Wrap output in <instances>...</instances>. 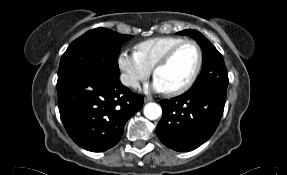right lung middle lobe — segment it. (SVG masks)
Wrapping results in <instances>:
<instances>
[{"mask_svg": "<svg viewBox=\"0 0 287 175\" xmlns=\"http://www.w3.org/2000/svg\"><path fill=\"white\" fill-rule=\"evenodd\" d=\"M130 38L132 35H121L105 28L86 32L73 41L62 55L58 79L78 72L119 79L117 58L123 42Z\"/></svg>", "mask_w": 287, "mask_h": 175, "instance_id": "obj_1", "label": "right lung middle lobe"}]
</instances>
